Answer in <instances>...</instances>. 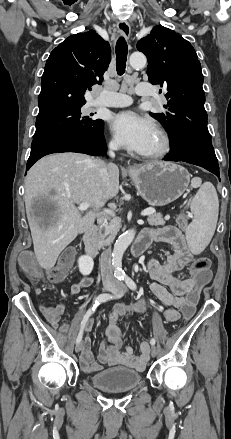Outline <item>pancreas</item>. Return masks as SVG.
<instances>
[{"instance_id":"1","label":"pancreas","mask_w":231,"mask_h":439,"mask_svg":"<svg viewBox=\"0 0 231 439\" xmlns=\"http://www.w3.org/2000/svg\"><path fill=\"white\" fill-rule=\"evenodd\" d=\"M148 224L151 226H163L165 225V219L162 214L157 213L150 215L147 219ZM121 228V222L118 219L109 220L103 227L100 228L98 234V245L105 246L112 242L117 232Z\"/></svg>"}]
</instances>
